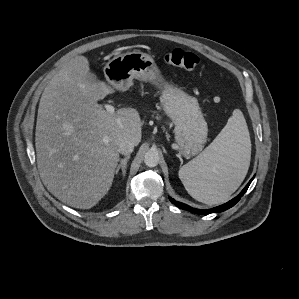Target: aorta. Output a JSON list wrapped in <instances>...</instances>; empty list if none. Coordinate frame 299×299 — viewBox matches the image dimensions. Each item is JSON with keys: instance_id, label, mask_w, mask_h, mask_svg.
Listing matches in <instances>:
<instances>
[{"instance_id": "aorta-1", "label": "aorta", "mask_w": 299, "mask_h": 299, "mask_svg": "<svg viewBox=\"0 0 299 299\" xmlns=\"http://www.w3.org/2000/svg\"><path fill=\"white\" fill-rule=\"evenodd\" d=\"M160 160L159 154L156 151H148L145 153L144 156V163L148 166V167H155L158 165Z\"/></svg>"}]
</instances>
